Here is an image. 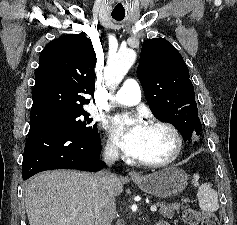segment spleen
Instances as JSON below:
<instances>
[{
  "label": "spleen",
  "instance_id": "1",
  "mask_svg": "<svg viewBox=\"0 0 237 225\" xmlns=\"http://www.w3.org/2000/svg\"><path fill=\"white\" fill-rule=\"evenodd\" d=\"M199 175L194 174L192 184L198 187V202L199 207L204 212H215L219 208L218 204V195L215 190L212 189V185L210 183H204L201 186L198 184Z\"/></svg>",
  "mask_w": 237,
  "mask_h": 225
}]
</instances>
